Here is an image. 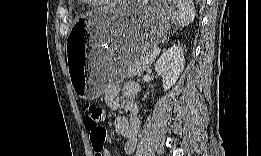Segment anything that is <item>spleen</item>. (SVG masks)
Here are the masks:
<instances>
[{"instance_id": "spleen-1", "label": "spleen", "mask_w": 261, "mask_h": 156, "mask_svg": "<svg viewBox=\"0 0 261 156\" xmlns=\"http://www.w3.org/2000/svg\"><path fill=\"white\" fill-rule=\"evenodd\" d=\"M177 13L175 16V25L183 28L194 21L196 11L192 2L189 0H179L177 3Z\"/></svg>"}]
</instances>
